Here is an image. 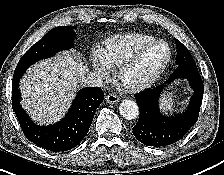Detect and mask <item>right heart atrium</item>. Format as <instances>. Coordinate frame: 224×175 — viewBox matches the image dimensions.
Instances as JSON below:
<instances>
[{
    "label": "right heart atrium",
    "instance_id": "right-heart-atrium-1",
    "mask_svg": "<svg viewBox=\"0 0 224 175\" xmlns=\"http://www.w3.org/2000/svg\"><path fill=\"white\" fill-rule=\"evenodd\" d=\"M91 59L94 69L99 75L106 76L109 73L110 67L101 59L98 52H94Z\"/></svg>",
    "mask_w": 224,
    "mask_h": 175
}]
</instances>
